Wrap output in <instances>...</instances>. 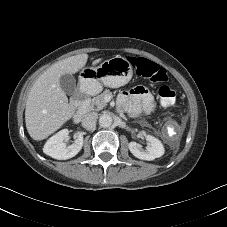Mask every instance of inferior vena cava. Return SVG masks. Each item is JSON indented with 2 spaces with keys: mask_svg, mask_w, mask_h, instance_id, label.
Instances as JSON below:
<instances>
[{
  "mask_svg": "<svg viewBox=\"0 0 227 227\" xmlns=\"http://www.w3.org/2000/svg\"><path fill=\"white\" fill-rule=\"evenodd\" d=\"M98 114L96 112H90L86 114L82 119V126L87 129H92L97 121Z\"/></svg>",
  "mask_w": 227,
  "mask_h": 227,
  "instance_id": "obj_1",
  "label": "inferior vena cava"
}]
</instances>
